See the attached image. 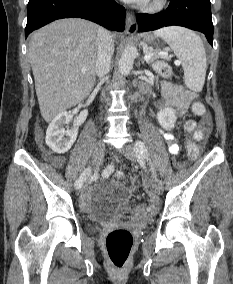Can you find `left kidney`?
Listing matches in <instances>:
<instances>
[{
  "label": "left kidney",
  "instance_id": "obj_1",
  "mask_svg": "<svg viewBox=\"0 0 233 284\" xmlns=\"http://www.w3.org/2000/svg\"><path fill=\"white\" fill-rule=\"evenodd\" d=\"M157 119L162 128L165 130H171L174 128L177 120L175 110L170 107L160 110L157 113Z\"/></svg>",
  "mask_w": 233,
  "mask_h": 284
}]
</instances>
